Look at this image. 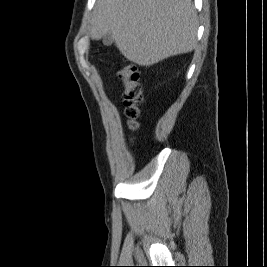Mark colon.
<instances>
[{"label":"colon","mask_w":267,"mask_h":267,"mask_svg":"<svg viewBox=\"0 0 267 267\" xmlns=\"http://www.w3.org/2000/svg\"><path fill=\"white\" fill-rule=\"evenodd\" d=\"M118 76L123 82V101L128 124L131 129L138 127L137 119L140 115L142 102V88L138 68L132 63H125L118 71Z\"/></svg>","instance_id":"obj_1"}]
</instances>
